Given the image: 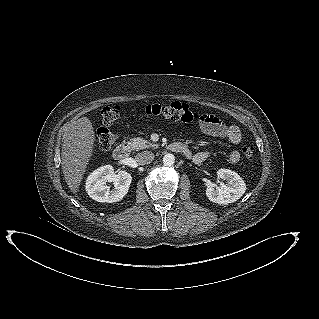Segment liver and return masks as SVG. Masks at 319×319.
Segmentation results:
<instances>
[{
  "instance_id": "6515ba94",
  "label": "liver",
  "mask_w": 319,
  "mask_h": 319,
  "mask_svg": "<svg viewBox=\"0 0 319 319\" xmlns=\"http://www.w3.org/2000/svg\"><path fill=\"white\" fill-rule=\"evenodd\" d=\"M62 139L61 165L64 178L69 189L77 193L94 148L95 133L91 121L82 117L71 122Z\"/></svg>"
}]
</instances>
